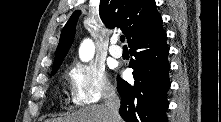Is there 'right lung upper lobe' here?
Returning a JSON list of instances; mask_svg holds the SVG:
<instances>
[{
	"instance_id": "obj_1",
	"label": "right lung upper lobe",
	"mask_w": 221,
	"mask_h": 122,
	"mask_svg": "<svg viewBox=\"0 0 221 122\" xmlns=\"http://www.w3.org/2000/svg\"><path fill=\"white\" fill-rule=\"evenodd\" d=\"M99 14L108 28L122 30L128 45L162 20L154 0H100ZM78 16L79 11L74 12L61 32L52 71L58 70L73 42Z\"/></svg>"
}]
</instances>
